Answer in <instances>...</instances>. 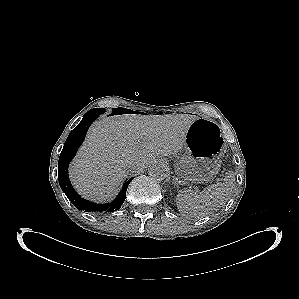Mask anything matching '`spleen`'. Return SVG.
Segmentation results:
<instances>
[{"label":"spleen","instance_id":"3e777b00","mask_svg":"<svg viewBox=\"0 0 299 299\" xmlns=\"http://www.w3.org/2000/svg\"><path fill=\"white\" fill-rule=\"evenodd\" d=\"M234 186L235 176L229 173L223 183L211 185L199 194L189 189L180 190L176 197L178 211L188 218H203L226 203Z\"/></svg>","mask_w":299,"mask_h":299}]
</instances>
